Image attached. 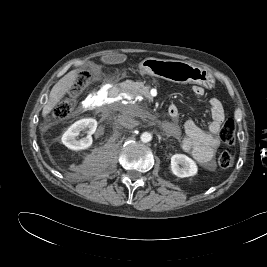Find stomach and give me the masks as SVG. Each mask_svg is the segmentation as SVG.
<instances>
[{
  "mask_svg": "<svg viewBox=\"0 0 267 267\" xmlns=\"http://www.w3.org/2000/svg\"><path fill=\"white\" fill-rule=\"evenodd\" d=\"M141 74H147L181 84H199L206 88L214 85V77L207 70L179 60H162L153 57L139 64Z\"/></svg>",
  "mask_w": 267,
  "mask_h": 267,
  "instance_id": "obj_1",
  "label": "stomach"
}]
</instances>
